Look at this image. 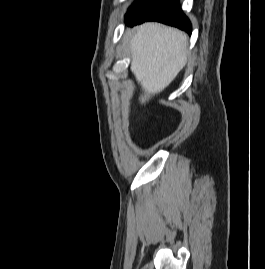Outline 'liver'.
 Listing matches in <instances>:
<instances>
[{
    "label": "liver",
    "mask_w": 265,
    "mask_h": 269,
    "mask_svg": "<svg viewBox=\"0 0 265 269\" xmlns=\"http://www.w3.org/2000/svg\"><path fill=\"white\" fill-rule=\"evenodd\" d=\"M188 37L160 23L141 25L130 41L131 71L141 84L145 103L162 92L183 68L188 57Z\"/></svg>",
    "instance_id": "1"
}]
</instances>
